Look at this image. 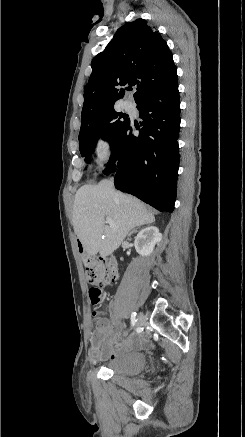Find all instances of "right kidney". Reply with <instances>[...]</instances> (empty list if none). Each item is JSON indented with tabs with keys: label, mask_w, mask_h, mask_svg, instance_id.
I'll return each mask as SVG.
<instances>
[{
	"label": "right kidney",
	"mask_w": 245,
	"mask_h": 437,
	"mask_svg": "<svg viewBox=\"0 0 245 437\" xmlns=\"http://www.w3.org/2000/svg\"><path fill=\"white\" fill-rule=\"evenodd\" d=\"M162 239V234L155 226L142 229L136 236L134 245L138 254L143 257L149 256L157 243Z\"/></svg>",
	"instance_id": "right-kidney-1"
}]
</instances>
